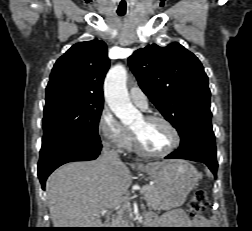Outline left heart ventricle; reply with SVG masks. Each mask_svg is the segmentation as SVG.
Listing matches in <instances>:
<instances>
[{
	"instance_id": "left-heart-ventricle-1",
	"label": "left heart ventricle",
	"mask_w": 252,
	"mask_h": 231,
	"mask_svg": "<svg viewBox=\"0 0 252 231\" xmlns=\"http://www.w3.org/2000/svg\"><path fill=\"white\" fill-rule=\"evenodd\" d=\"M131 130L138 136L142 145L153 152H163L173 142L171 131L159 121L147 122L141 118L134 123Z\"/></svg>"
}]
</instances>
